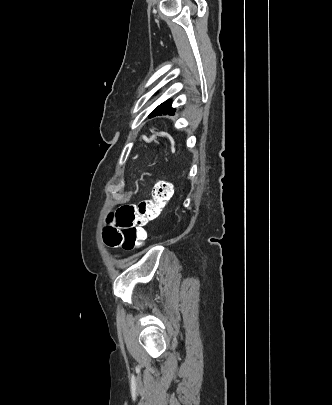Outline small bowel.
Returning a JSON list of instances; mask_svg holds the SVG:
<instances>
[{"instance_id":"small-bowel-1","label":"small bowel","mask_w":332,"mask_h":405,"mask_svg":"<svg viewBox=\"0 0 332 405\" xmlns=\"http://www.w3.org/2000/svg\"><path fill=\"white\" fill-rule=\"evenodd\" d=\"M111 227H116V226L111 225ZM121 236H122V235H121ZM121 243H122V241H121Z\"/></svg>"}]
</instances>
